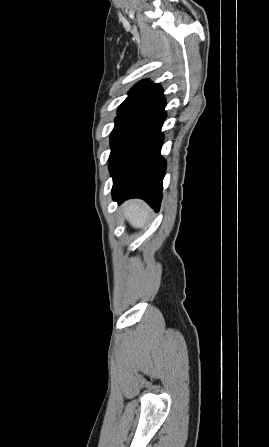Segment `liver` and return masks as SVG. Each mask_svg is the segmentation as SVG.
Returning <instances> with one entry per match:
<instances>
[{
	"instance_id": "1",
	"label": "liver",
	"mask_w": 269,
	"mask_h": 447,
	"mask_svg": "<svg viewBox=\"0 0 269 447\" xmlns=\"http://www.w3.org/2000/svg\"><path fill=\"white\" fill-rule=\"evenodd\" d=\"M123 214L133 227H144L148 220L149 210L140 200H130L124 204Z\"/></svg>"
}]
</instances>
